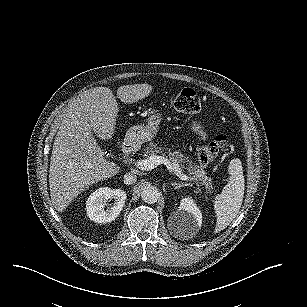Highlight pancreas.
I'll list each match as a JSON object with an SVG mask.
<instances>
[{"instance_id": "cf45deb5", "label": "pancreas", "mask_w": 307, "mask_h": 307, "mask_svg": "<svg viewBox=\"0 0 307 307\" xmlns=\"http://www.w3.org/2000/svg\"><path fill=\"white\" fill-rule=\"evenodd\" d=\"M142 153L145 157L148 158L152 154H163V150L156 142L150 141L144 145ZM169 158L173 164L179 165L181 174L185 176L186 179L197 182V193L201 191V187H204L207 191L211 189L212 178L207 176L206 171H204L198 164L193 162L187 163L188 161H183V157L176 154V152H170Z\"/></svg>"}]
</instances>
